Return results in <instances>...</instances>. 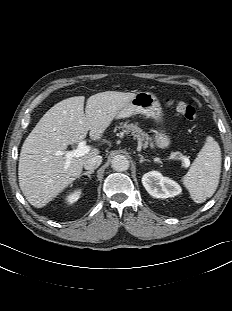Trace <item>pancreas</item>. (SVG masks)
Listing matches in <instances>:
<instances>
[{"mask_svg": "<svg viewBox=\"0 0 232 311\" xmlns=\"http://www.w3.org/2000/svg\"><path fill=\"white\" fill-rule=\"evenodd\" d=\"M121 129L125 134H131L135 139H137L138 143L143 145V147H147L150 145L153 147V143L151 142V137L144 132L137 124L129 123L128 121L120 123V126L117 127Z\"/></svg>", "mask_w": 232, "mask_h": 311, "instance_id": "pancreas-1", "label": "pancreas"}]
</instances>
